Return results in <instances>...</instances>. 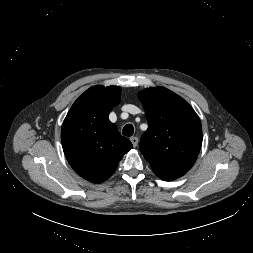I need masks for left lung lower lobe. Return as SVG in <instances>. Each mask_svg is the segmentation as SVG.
<instances>
[{
  "label": "left lung lower lobe",
  "mask_w": 253,
  "mask_h": 253,
  "mask_svg": "<svg viewBox=\"0 0 253 253\" xmlns=\"http://www.w3.org/2000/svg\"><path fill=\"white\" fill-rule=\"evenodd\" d=\"M163 180H165V181H171V180H166V179H163Z\"/></svg>",
  "instance_id": "obj_1"
}]
</instances>
